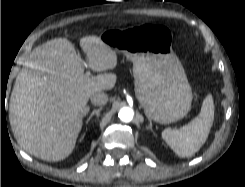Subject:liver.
<instances>
[{
  "instance_id": "liver-1",
  "label": "liver",
  "mask_w": 245,
  "mask_h": 187,
  "mask_svg": "<svg viewBox=\"0 0 245 187\" xmlns=\"http://www.w3.org/2000/svg\"><path fill=\"white\" fill-rule=\"evenodd\" d=\"M88 66L96 72L117 66L115 50L98 36L80 39ZM66 38L36 47L16 77L9 120L17 143L45 161H61L74 150L92 94L115 86L114 73L90 76Z\"/></svg>"
}]
</instances>
